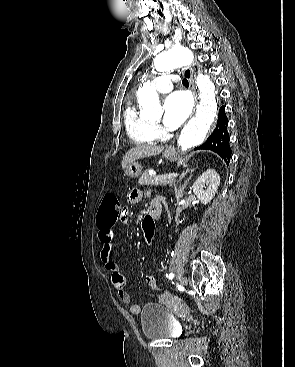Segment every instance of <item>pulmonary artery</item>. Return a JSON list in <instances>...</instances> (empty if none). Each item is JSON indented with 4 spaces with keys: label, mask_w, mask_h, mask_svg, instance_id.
<instances>
[{
    "label": "pulmonary artery",
    "mask_w": 295,
    "mask_h": 367,
    "mask_svg": "<svg viewBox=\"0 0 295 367\" xmlns=\"http://www.w3.org/2000/svg\"><path fill=\"white\" fill-rule=\"evenodd\" d=\"M176 81V77L171 74H163L156 77L153 81L155 88L160 93H167L173 89V83Z\"/></svg>",
    "instance_id": "pulmonary-artery-1"
}]
</instances>
